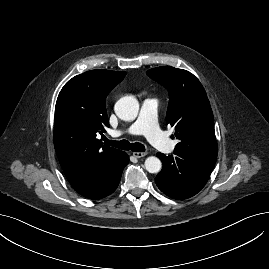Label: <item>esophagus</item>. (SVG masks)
Instances as JSON below:
<instances>
[{"label":"esophagus","instance_id":"1","mask_svg":"<svg viewBox=\"0 0 269 269\" xmlns=\"http://www.w3.org/2000/svg\"><path fill=\"white\" fill-rule=\"evenodd\" d=\"M146 155H147L146 152H134L133 153V156L136 157V158H142V157H144Z\"/></svg>","mask_w":269,"mask_h":269}]
</instances>
